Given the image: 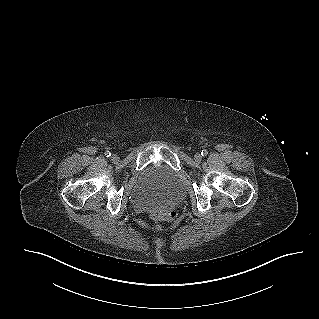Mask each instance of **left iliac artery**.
I'll return each mask as SVG.
<instances>
[{"mask_svg":"<svg viewBox=\"0 0 319 319\" xmlns=\"http://www.w3.org/2000/svg\"><path fill=\"white\" fill-rule=\"evenodd\" d=\"M208 154L207 150H202L201 155L206 156Z\"/></svg>","mask_w":319,"mask_h":319,"instance_id":"44dca946","label":"left iliac artery"}]
</instances>
